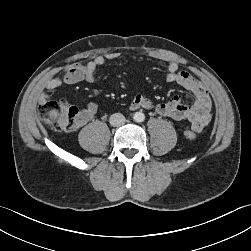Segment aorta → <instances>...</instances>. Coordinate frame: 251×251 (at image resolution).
Returning <instances> with one entry per match:
<instances>
[{"label":"aorta","instance_id":"obj_1","mask_svg":"<svg viewBox=\"0 0 251 251\" xmlns=\"http://www.w3.org/2000/svg\"><path fill=\"white\" fill-rule=\"evenodd\" d=\"M135 122H143L145 119V115L142 112H136L133 116Z\"/></svg>","mask_w":251,"mask_h":251}]
</instances>
